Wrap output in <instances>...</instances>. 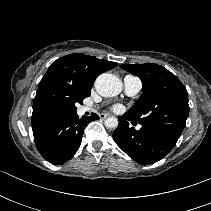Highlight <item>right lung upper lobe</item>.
Here are the masks:
<instances>
[{
    "instance_id": "right-lung-upper-lobe-1",
    "label": "right lung upper lobe",
    "mask_w": 211,
    "mask_h": 211,
    "mask_svg": "<svg viewBox=\"0 0 211 211\" xmlns=\"http://www.w3.org/2000/svg\"><path fill=\"white\" fill-rule=\"evenodd\" d=\"M117 65L81 53L54 61L39 83L33 102L32 127L60 118L55 100L69 92L90 93L96 77Z\"/></svg>"
}]
</instances>
